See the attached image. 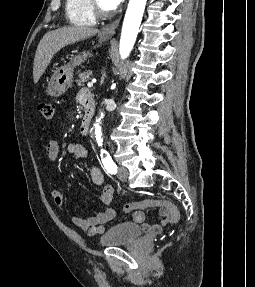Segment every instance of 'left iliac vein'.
Segmentation results:
<instances>
[{
	"label": "left iliac vein",
	"mask_w": 255,
	"mask_h": 287,
	"mask_svg": "<svg viewBox=\"0 0 255 287\" xmlns=\"http://www.w3.org/2000/svg\"><path fill=\"white\" fill-rule=\"evenodd\" d=\"M117 177L123 181V182H126L127 179H128V170L125 168V167H119V170H118V175Z\"/></svg>",
	"instance_id": "left-iliac-vein-1"
}]
</instances>
